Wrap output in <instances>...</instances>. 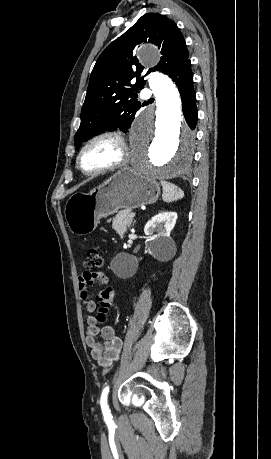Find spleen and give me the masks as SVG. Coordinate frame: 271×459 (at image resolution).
Listing matches in <instances>:
<instances>
[{
	"mask_svg": "<svg viewBox=\"0 0 271 459\" xmlns=\"http://www.w3.org/2000/svg\"><path fill=\"white\" fill-rule=\"evenodd\" d=\"M163 194H162V200L164 202H175V200H178L176 194H177V186H174V184H170V182H161Z\"/></svg>",
	"mask_w": 271,
	"mask_h": 459,
	"instance_id": "spleen-1",
	"label": "spleen"
}]
</instances>
